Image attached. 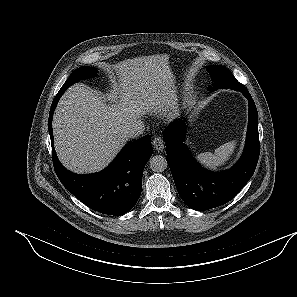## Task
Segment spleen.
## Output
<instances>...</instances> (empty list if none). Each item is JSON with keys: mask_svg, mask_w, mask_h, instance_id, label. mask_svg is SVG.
<instances>
[{"mask_svg": "<svg viewBox=\"0 0 297 297\" xmlns=\"http://www.w3.org/2000/svg\"><path fill=\"white\" fill-rule=\"evenodd\" d=\"M236 146L235 141L225 143L218 147L214 153L205 152L197 155V160L204 166L216 169L217 167L223 165L233 153Z\"/></svg>", "mask_w": 297, "mask_h": 297, "instance_id": "3e777b00", "label": "spleen"}]
</instances>
